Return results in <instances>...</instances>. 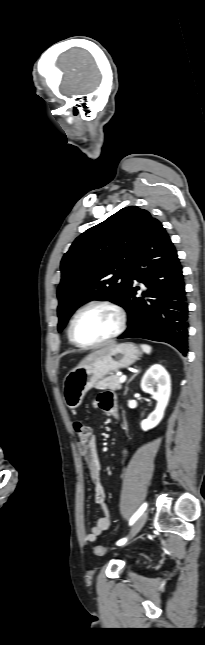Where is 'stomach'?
I'll return each instance as SVG.
<instances>
[{
  "label": "stomach",
  "instance_id": "obj_1",
  "mask_svg": "<svg viewBox=\"0 0 205 645\" xmlns=\"http://www.w3.org/2000/svg\"><path fill=\"white\" fill-rule=\"evenodd\" d=\"M141 356V351L133 343H121L110 352L88 362L80 368L71 370L63 381V398L70 409L79 407L85 394L104 376L132 365Z\"/></svg>",
  "mask_w": 205,
  "mask_h": 645
}]
</instances>
